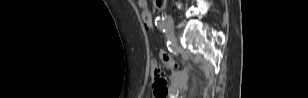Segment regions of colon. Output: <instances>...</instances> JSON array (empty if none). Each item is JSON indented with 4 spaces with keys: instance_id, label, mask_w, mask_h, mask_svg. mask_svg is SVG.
I'll return each mask as SVG.
<instances>
[{
    "instance_id": "obj_1",
    "label": "colon",
    "mask_w": 308,
    "mask_h": 98,
    "mask_svg": "<svg viewBox=\"0 0 308 98\" xmlns=\"http://www.w3.org/2000/svg\"><path fill=\"white\" fill-rule=\"evenodd\" d=\"M158 1V0H157ZM139 15L144 16V30L145 31H155L156 26L155 24H152L151 21L153 20V17L151 15V10L150 9H140L139 10ZM161 60L163 64L169 68V69H174L177 67V64L175 60L173 59L172 56H170L167 53H163L161 55ZM151 73L153 76V88H154V94L158 98H164L167 96L168 89H167V81L162 73L158 63L156 60L152 61V66H151Z\"/></svg>"
}]
</instances>
